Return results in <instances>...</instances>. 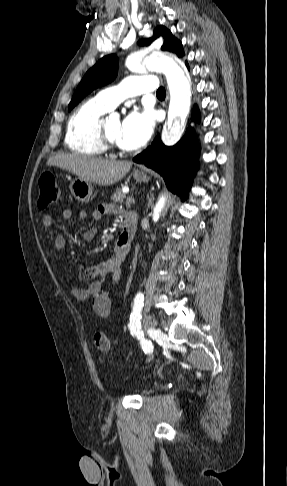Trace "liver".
<instances>
[{"label": "liver", "instance_id": "obj_1", "mask_svg": "<svg viewBox=\"0 0 287 486\" xmlns=\"http://www.w3.org/2000/svg\"><path fill=\"white\" fill-rule=\"evenodd\" d=\"M47 165L60 167L80 179L107 186L122 179L131 169L132 162L103 160L80 154H57L49 158Z\"/></svg>", "mask_w": 287, "mask_h": 486}]
</instances>
